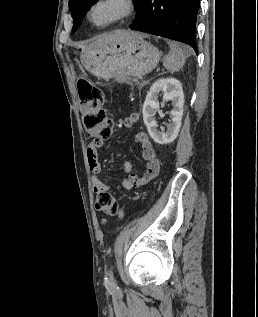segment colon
<instances>
[{
	"mask_svg": "<svg viewBox=\"0 0 258 317\" xmlns=\"http://www.w3.org/2000/svg\"><path fill=\"white\" fill-rule=\"evenodd\" d=\"M77 88L86 133L94 139H107L112 134L113 123L103 107L104 97L101 90L85 78L78 80ZM95 208L109 217L121 219L124 216V210L108 192L97 194Z\"/></svg>",
	"mask_w": 258,
	"mask_h": 317,
	"instance_id": "1",
	"label": "colon"
}]
</instances>
